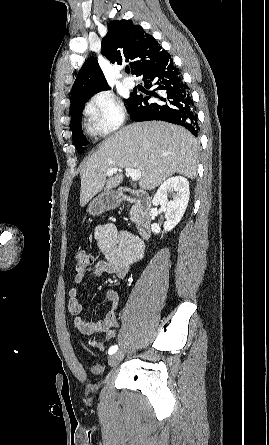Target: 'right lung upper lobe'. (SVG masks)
I'll return each mask as SVG.
<instances>
[{"instance_id": "1", "label": "right lung upper lobe", "mask_w": 269, "mask_h": 445, "mask_svg": "<svg viewBox=\"0 0 269 445\" xmlns=\"http://www.w3.org/2000/svg\"><path fill=\"white\" fill-rule=\"evenodd\" d=\"M102 54L118 65L128 63L132 74L139 76L150 64L159 61L167 51L139 25L130 20L111 21L102 39ZM109 88L94 57L81 67L71 90V107L87 101L92 95Z\"/></svg>"}]
</instances>
